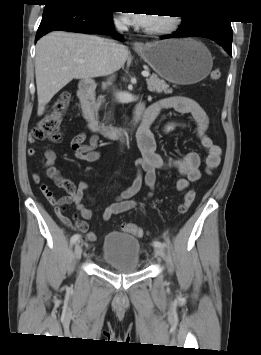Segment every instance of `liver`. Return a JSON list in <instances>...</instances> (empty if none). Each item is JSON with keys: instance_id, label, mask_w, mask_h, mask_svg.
<instances>
[{"instance_id": "1", "label": "liver", "mask_w": 261, "mask_h": 355, "mask_svg": "<svg viewBox=\"0 0 261 355\" xmlns=\"http://www.w3.org/2000/svg\"><path fill=\"white\" fill-rule=\"evenodd\" d=\"M109 41L95 35L54 31L37 42L35 76L39 116L53 96L73 79L104 76L125 64L127 47L120 45L114 56ZM79 59L84 63H78Z\"/></svg>"}]
</instances>
